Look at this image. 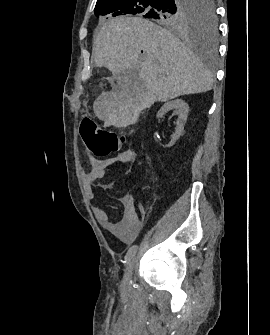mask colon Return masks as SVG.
<instances>
[{"label": "colon", "instance_id": "1", "mask_svg": "<svg viewBox=\"0 0 270 335\" xmlns=\"http://www.w3.org/2000/svg\"><path fill=\"white\" fill-rule=\"evenodd\" d=\"M81 132L86 147L96 158H106L117 153L126 139L125 134L103 129L91 119L83 121Z\"/></svg>", "mask_w": 270, "mask_h": 335}]
</instances>
